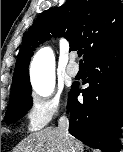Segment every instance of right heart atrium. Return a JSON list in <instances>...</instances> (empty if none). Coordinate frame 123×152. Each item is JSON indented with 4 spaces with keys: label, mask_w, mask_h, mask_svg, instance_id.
Returning a JSON list of instances; mask_svg holds the SVG:
<instances>
[{
    "label": "right heart atrium",
    "mask_w": 123,
    "mask_h": 152,
    "mask_svg": "<svg viewBox=\"0 0 123 152\" xmlns=\"http://www.w3.org/2000/svg\"><path fill=\"white\" fill-rule=\"evenodd\" d=\"M62 114L63 105L59 96H35L31 98L24 115L28 128L38 131Z\"/></svg>",
    "instance_id": "1"
}]
</instances>
